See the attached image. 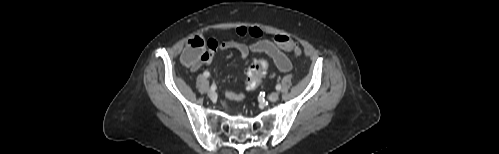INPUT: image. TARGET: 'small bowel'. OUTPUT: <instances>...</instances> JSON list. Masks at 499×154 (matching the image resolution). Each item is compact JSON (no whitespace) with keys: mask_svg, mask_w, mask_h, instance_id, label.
<instances>
[{"mask_svg":"<svg viewBox=\"0 0 499 154\" xmlns=\"http://www.w3.org/2000/svg\"><path fill=\"white\" fill-rule=\"evenodd\" d=\"M236 34L239 36H251L257 40L249 45L239 43L236 41H218L216 39H209L210 49L214 50H226L235 49L239 53V58L244 65L249 62L250 52L265 53L272 58L274 65L281 72H288L292 68V64L289 58L279 49V47L272 41L261 39L262 31L257 27H245L240 26L236 28ZM209 59L205 62H208ZM227 97L236 101L242 100L244 98L243 93L227 92Z\"/></svg>","mask_w":499,"mask_h":154,"instance_id":"obj_1","label":"small bowel"}]
</instances>
